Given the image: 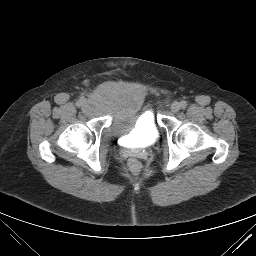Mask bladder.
Returning a JSON list of instances; mask_svg holds the SVG:
<instances>
[{
	"label": "bladder",
	"mask_w": 256,
	"mask_h": 256,
	"mask_svg": "<svg viewBox=\"0 0 256 256\" xmlns=\"http://www.w3.org/2000/svg\"><path fill=\"white\" fill-rule=\"evenodd\" d=\"M92 103L102 106L110 114V128L129 142L146 146L153 143L159 129L153 111L145 104V94L136 87L120 86L97 91Z\"/></svg>",
	"instance_id": "obj_1"
}]
</instances>
